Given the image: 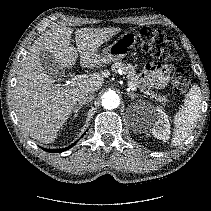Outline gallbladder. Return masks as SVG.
<instances>
[{"label": "gallbladder", "mask_w": 211, "mask_h": 211, "mask_svg": "<svg viewBox=\"0 0 211 211\" xmlns=\"http://www.w3.org/2000/svg\"><path fill=\"white\" fill-rule=\"evenodd\" d=\"M40 62L45 71L55 80H61L64 76L63 68L58 64L53 55L46 50L40 52Z\"/></svg>", "instance_id": "gallbladder-1"}]
</instances>
